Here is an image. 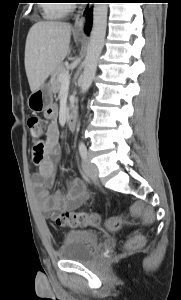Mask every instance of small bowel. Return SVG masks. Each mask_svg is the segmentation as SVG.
Listing matches in <instances>:
<instances>
[{"instance_id": "small-bowel-1", "label": "small bowel", "mask_w": 181, "mask_h": 300, "mask_svg": "<svg viewBox=\"0 0 181 300\" xmlns=\"http://www.w3.org/2000/svg\"><path fill=\"white\" fill-rule=\"evenodd\" d=\"M44 115L48 120L46 140L42 151H33V161L38 169L33 184L43 212L54 218L60 212L79 208L86 199L87 192L79 179H72L68 182L65 194L60 191L49 194V188L55 180L56 159L59 154L58 107L49 106Z\"/></svg>"}]
</instances>
